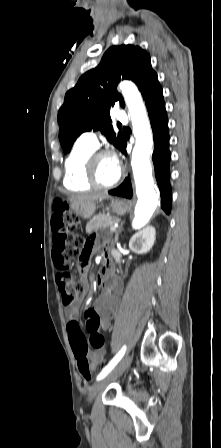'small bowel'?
I'll return each mask as SVG.
<instances>
[{"instance_id":"obj_1","label":"small bowel","mask_w":221,"mask_h":448,"mask_svg":"<svg viewBox=\"0 0 221 448\" xmlns=\"http://www.w3.org/2000/svg\"><path fill=\"white\" fill-rule=\"evenodd\" d=\"M56 216L60 217L61 213L59 210L54 208L53 214H52V219ZM51 226H52V220H51ZM52 232H53V249H54V237H55L56 232H55L53 226H52ZM87 244H88L90 250H96L103 244V241L100 238L94 236L88 240ZM80 268H81L82 273H85L87 270V265L80 263ZM108 272H109V270H108ZM81 283L84 287L87 286V282L84 277H82ZM121 289H122V285L118 281H113L112 283H108L106 286H101L100 295L94 303V310L97 312V314L99 316V320H100L99 330H106L109 328L110 321L115 316V310L119 306L118 296L121 292ZM78 313H79L78 304H74L73 306L68 307L66 309V315L70 321H74L77 318ZM80 336L85 339V336L82 333V331L80 333ZM68 337H69V331H68ZM69 342H70L73 354L75 356V351L72 346L70 337H69ZM105 353H106V347L104 346L102 348L94 349L93 351L88 352L87 356H88L91 364L94 367H97L104 360Z\"/></svg>"}]
</instances>
